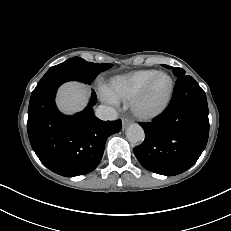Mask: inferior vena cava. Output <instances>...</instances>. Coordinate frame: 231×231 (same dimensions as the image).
I'll return each instance as SVG.
<instances>
[{
	"instance_id": "1",
	"label": "inferior vena cava",
	"mask_w": 231,
	"mask_h": 231,
	"mask_svg": "<svg viewBox=\"0 0 231 231\" xmlns=\"http://www.w3.org/2000/svg\"><path fill=\"white\" fill-rule=\"evenodd\" d=\"M96 116L104 121L117 119V112L110 106L100 105L96 109Z\"/></svg>"
}]
</instances>
